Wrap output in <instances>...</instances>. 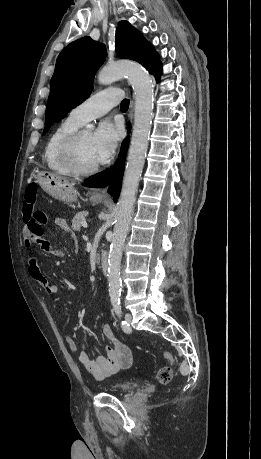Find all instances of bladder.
Returning <instances> with one entry per match:
<instances>
[{
	"label": "bladder",
	"instance_id": "bladder-1",
	"mask_svg": "<svg viewBox=\"0 0 261 459\" xmlns=\"http://www.w3.org/2000/svg\"><path fill=\"white\" fill-rule=\"evenodd\" d=\"M137 384L133 382H122L111 385L108 390L121 393H129L136 389Z\"/></svg>",
	"mask_w": 261,
	"mask_h": 459
}]
</instances>
